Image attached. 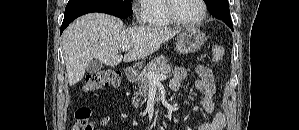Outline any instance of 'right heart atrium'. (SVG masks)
Instances as JSON below:
<instances>
[{
	"label": "right heart atrium",
	"instance_id": "d8ad5b80",
	"mask_svg": "<svg viewBox=\"0 0 299 130\" xmlns=\"http://www.w3.org/2000/svg\"><path fill=\"white\" fill-rule=\"evenodd\" d=\"M146 0L136 1L133 5V14L139 21L143 20L144 17V6Z\"/></svg>",
	"mask_w": 299,
	"mask_h": 130
}]
</instances>
